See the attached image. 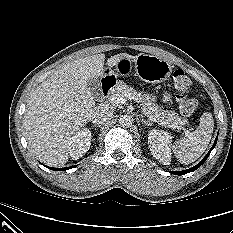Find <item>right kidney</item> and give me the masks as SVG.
Instances as JSON below:
<instances>
[{"label":"right kidney","mask_w":233,"mask_h":233,"mask_svg":"<svg viewBox=\"0 0 233 233\" xmlns=\"http://www.w3.org/2000/svg\"><path fill=\"white\" fill-rule=\"evenodd\" d=\"M91 131L87 128L77 131L68 142V152L72 159L82 157L90 148Z\"/></svg>","instance_id":"obj_1"}]
</instances>
